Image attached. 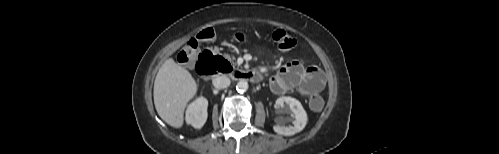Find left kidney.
<instances>
[{
  "label": "left kidney",
  "instance_id": "5707ae66",
  "mask_svg": "<svg viewBox=\"0 0 499 154\" xmlns=\"http://www.w3.org/2000/svg\"><path fill=\"white\" fill-rule=\"evenodd\" d=\"M275 107L282 111H291V117L294 118L293 126L274 125L276 133L284 136H291L302 131L307 123V113L302 104L295 98L282 96L276 100Z\"/></svg>",
  "mask_w": 499,
  "mask_h": 154
}]
</instances>
